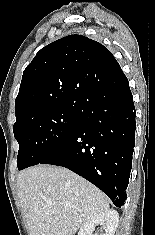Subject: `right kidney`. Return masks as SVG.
Instances as JSON below:
<instances>
[{
  "instance_id": "right-kidney-1",
  "label": "right kidney",
  "mask_w": 155,
  "mask_h": 235,
  "mask_svg": "<svg viewBox=\"0 0 155 235\" xmlns=\"http://www.w3.org/2000/svg\"><path fill=\"white\" fill-rule=\"evenodd\" d=\"M119 221V214L115 210H108L96 215L87 221L78 232V235H94L95 226L100 225L104 233L100 235H114Z\"/></svg>"
}]
</instances>
